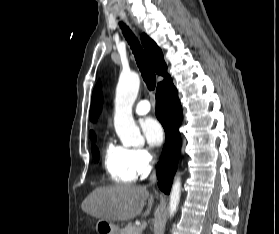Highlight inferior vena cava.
Here are the masks:
<instances>
[{"instance_id":"1","label":"inferior vena cava","mask_w":279,"mask_h":234,"mask_svg":"<svg viewBox=\"0 0 279 234\" xmlns=\"http://www.w3.org/2000/svg\"><path fill=\"white\" fill-rule=\"evenodd\" d=\"M156 182V174L155 172L153 171L151 176H150V184H153Z\"/></svg>"}]
</instances>
